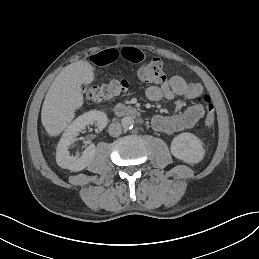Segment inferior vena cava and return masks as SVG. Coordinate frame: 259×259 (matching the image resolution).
<instances>
[{"label":"inferior vena cava","mask_w":259,"mask_h":259,"mask_svg":"<svg viewBox=\"0 0 259 259\" xmlns=\"http://www.w3.org/2000/svg\"><path fill=\"white\" fill-rule=\"evenodd\" d=\"M108 132L110 136L118 137L122 132L121 125L118 122L110 124Z\"/></svg>","instance_id":"602c4592"}]
</instances>
